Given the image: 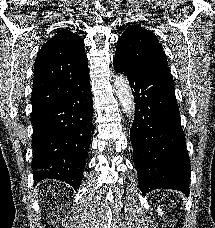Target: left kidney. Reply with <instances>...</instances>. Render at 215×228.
Here are the masks:
<instances>
[{"instance_id": "left-kidney-1", "label": "left kidney", "mask_w": 215, "mask_h": 228, "mask_svg": "<svg viewBox=\"0 0 215 228\" xmlns=\"http://www.w3.org/2000/svg\"><path fill=\"white\" fill-rule=\"evenodd\" d=\"M156 212H158V216H163L164 212H162L161 208H158V210H156Z\"/></svg>"}]
</instances>
